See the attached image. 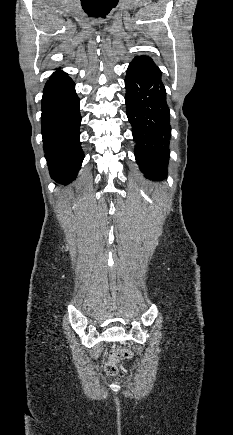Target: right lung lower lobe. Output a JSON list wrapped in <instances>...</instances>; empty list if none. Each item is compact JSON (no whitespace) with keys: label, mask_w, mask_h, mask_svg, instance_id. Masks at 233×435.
Returning a JSON list of instances; mask_svg holds the SVG:
<instances>
[{"label":"right lung lower lobe","mask_w":233,"mask_h":435,"mask_svg":"<svg viewBox=\"0 0 233 435\" xmlns=\"http://www.w3.org/2000/svg\"><path fill=\"white\" fill-rule=\"evenodd\" d=\"M75 83L66 74L48 81L43 90L41 132L51 178L73 181L84 158L79 140L81 116Z\"/></svg>","instance_id":"1"}]
</instances>
